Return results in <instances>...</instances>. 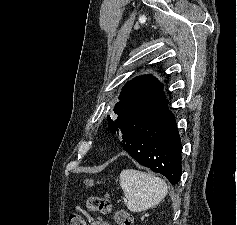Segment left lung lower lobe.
Masks as SVG:
<instances>
[{
    "mask_svg": "<svg viewBox=\"0 0 237 225\" xmlns=\"http://www.w3.org/2000/svg\"><path fill=\"white\" fill-rule=\"evenodd\" d=\"M121 146L139 164L164 175L171 184L181 177V142L168 100L139 107L118 126Z\"/></svg>",
    "mask_w": 237,
    "mask_h": 225,
    "instance_id": "1",
    "label": "left lung lower lobe"
}]
</instances>
